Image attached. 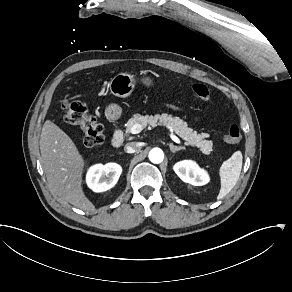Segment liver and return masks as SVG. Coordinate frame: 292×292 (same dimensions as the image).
<instances>
[{
    "instance_id": "obj_1",
    "label": "liver",
    "mask_w": 292,
    "mask_h": 292,
    "mask_svg": "<svg viewBox=\"0 0 292 292\" xmlns=\"http://www.w3.org/2000/svg\"><path fill=\"white\" fill-rule=\"evenodd\" d=\"M39 146L42 169L53 193L78 209L95 211V205L83 189L85 157L71 137L47 119L42 127Z\"/></svg>"
}]
</instances>
